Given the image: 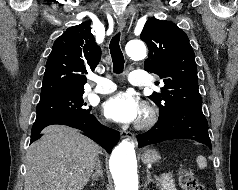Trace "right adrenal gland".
<instances>
[{
    "mask_svg": "<svg viewBox=\"0 0 238 190\" xmlns=\"http://www.w3.org/2000/svg\"><path fill=\"white\" fill-rule=\"evenodd\" d=\"M99 177H103V169L100 159H97L96 169L95 172L92 174V181H98Z\"/></svg>",
    "mask_w": 238,
    "mask_h": 190,
    "instance_id": "2a0ac1e0",
    "label": "right adrenal gland"
}]
</instances>
